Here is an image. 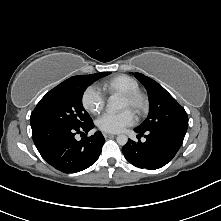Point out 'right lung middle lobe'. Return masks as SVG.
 I'll list each match as a JSON object with an SVG mask.
<instances>
[{
    "mask_svg": "<svg viewBox=\"0 0 221 221\" xmlns=\"http://www.w3.org/2000/svg\"><path fill=\"white\" fill-rule=\"evenodd\" d=\"M110 72L73 76L50 90L30 116L31 128L45 125L83 126L92 121L82 105L85 89Z\"/></svg>",
    "mask_w": 221,
    "mask_h": 221,
    "instance_id": "obj_1",
    "label": "right lung middle lobe"
}]
</instances>
